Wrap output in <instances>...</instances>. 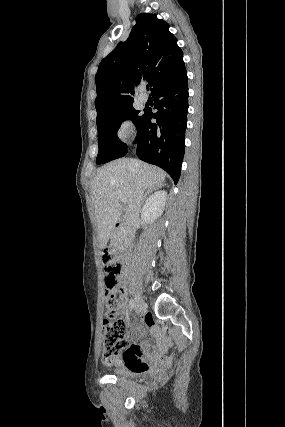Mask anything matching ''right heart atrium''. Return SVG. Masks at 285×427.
<instances>
[{"mask_svg":"<svg viewBox=\"0 0 285 427\" xmlns=\"http://www.w3.org/2000/svg\"><path fill=\"white\" fill-rule=\"evenodd\" d=\"M132 133V126L128 121H122L119 125L117 135L120 139L125 140Z\"/></svg>","mask_w":285,"mask_h":427,"instance_id":"right-heart-atrium-1","label":"right heart atrium"}]
</instances>
